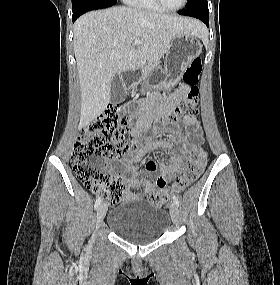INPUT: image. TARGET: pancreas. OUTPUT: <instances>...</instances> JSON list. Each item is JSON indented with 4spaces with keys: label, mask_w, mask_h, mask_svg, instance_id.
<instances>
[{
    "label": "pancreas",
    "mask_w": 280,
    "mask_h": 285,
    "mask_svg": "<svg viewBox=\"0 0 280 285\" xmlns=\"http://www.w3.org/2000/svg\"><path fill=\"white\" fill-rule=\"evenodd\" d=\"M158 63H148L142 69V77H146L156 66Z\"/></svg>",
    "instance_id": "pancreas-1"
}]
</instances>
